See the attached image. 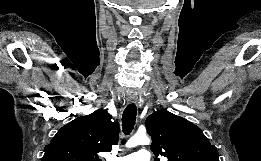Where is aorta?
<instances>
[{
  "label": "aorta",
  "mask_w": 261,
  "mask_h": 161,
  "mask_svg": "<svg viewBox=\"0 0 261 161\" xmlns=\"http://www.w3.org/2000/svg\"><path fill=\"white\" fill-rule=\"evenodd\" d=\"M150 140L146 134H135L127 143L126 147L131 148L137 145H148Z\"/></svg>",
  "instance_id": "obj_1"
}]
</instances>
